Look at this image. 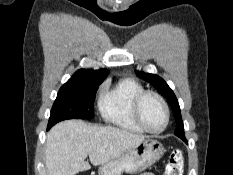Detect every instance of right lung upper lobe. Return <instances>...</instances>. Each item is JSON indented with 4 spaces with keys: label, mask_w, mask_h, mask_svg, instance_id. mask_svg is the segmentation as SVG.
Wrapping results in <instances>:
<instances>
[{
    "label": "right lung upper lobe",
    "mask_w": 233,
    "mask_h": 175,
    "mask_svg": "<svg viewBox=\"0 0 233 175\" xmlns=\"http://www.w3.org/2000/svg\"><path fill=\"white\" fill-rule=\"evenodd\" d=\"M109 71L107 69H80L78 70L67 83H76L88 80H104Z\"/></svg>",
    "instance_id": "1"
}]
</instances>
